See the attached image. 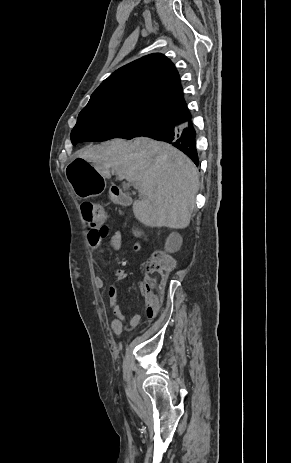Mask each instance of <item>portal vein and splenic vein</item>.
Returning <instances> with one entry per match:
<instances>
[{"instance_id":"obj_1","label":"portal vein and splenic vein","mask_w":291,"mask_h":463,"mask_svg":"<svg viewBox=\"0 0 291 463\" xmlns=\"http://www.w3.org/2000/svg\"><path fill=\"white\" fill-rule=\"evenodd\" d=\"M134 187H137V184L136 183H133Z\"/></svg>"}]
</instances>
